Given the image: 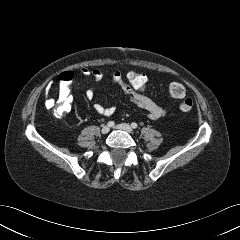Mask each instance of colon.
Instances as JSON below:
<instances>
[{"label":"colon","mask_w":240,"mask_h":240,"mask_svg":"<svg viewBox=\"0 0 240 240\" xmlns=\"http://www.w3.org/2000/svg\"><path fill=\"white\" fill-rule=\"evenodd\" d=\"M72 80L71 73H65L60 77V89L52 106H55V114L62 116L70 110V100L68 85ZM125 80L128 86L140 94H145L149 79L147 75L139 69H131L125 73ZM165 94L170 99H180V109L184 112L192 110L194 101L192 98L185 97V88L180 82H171L166 86Z\"/></svg>","instance_id":"obj_1"}]
</instances>
